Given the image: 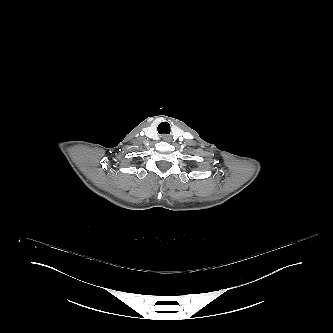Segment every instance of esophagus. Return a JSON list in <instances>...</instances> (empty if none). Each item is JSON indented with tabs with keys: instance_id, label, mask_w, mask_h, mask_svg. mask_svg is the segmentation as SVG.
I'll return each mask as SVG.
<instances>
[{
	"instance_id": "esophagus-1",
	"label": "esophagus",
	"mask_w": 333,
	"mask_h": 333,
	"mask_svg": "<svg viewBox=\"0 0 333 333\" xmlns=\"http://www.w3.org/2000/svg\"><path fill=\"white\" fill-rule=\"evenodd\" d=\"M162 139L165 140V141H170L171 137L167 136V135H164V136H162Z\"/></svg>"
}]
</instances>
